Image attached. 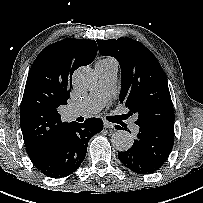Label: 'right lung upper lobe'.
<instances>
[{
  "label": "right lung upper lobe",
  "instance_id": "right-lung-upper-lobe-1",
  "mask_svg": "<svg viewBox=\"0 0 203 203\" xmlns=\"http://www.w3.org/2000/svg\"><path fill=\"white\" fill-rule=\"evenodd\" d=\"M96 54L94 40L66 38L47 46L36 57L20 107L23 139L34 165L48 158L69 124L61 121L57 109L67 104L73 72L90 64Z\"/></svg>",
  "mask_w": 203,
  "mask_h": 203
}]
</instances>
